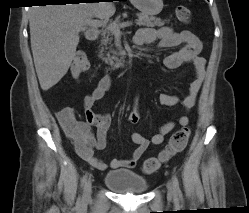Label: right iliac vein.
<instances>
[{
    "mask_svg": "<svg viewBox=\"0 0 249 213\" xmlns=\"http://www.w3.org/2000/svg\"><path fill=\"white\" fill-rule=\"evenodd\" d=\"M91 191H92V181H91V179H89V180H87V182L85 183V186H84L83 197L85 200H88L90 198Z\"/></svg>",
    "mask_w": 249,
    "mask_h": 213,
    "instance_id": "right-iliac-vein-1",
    "label": "right iliac vein"
}]
</instances>
